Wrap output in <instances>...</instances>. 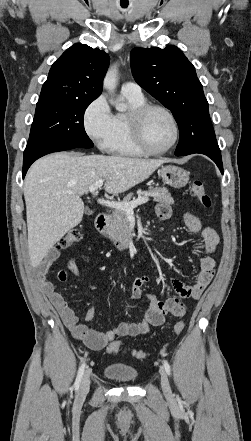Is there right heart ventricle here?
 Listing matches in <instances>:
<instances>
[{"instance_id":"e07e8e85","label":"right heart ventricle","mask_w":251,"mask_h":441,"mask_svg":"<svg viewBox=\"0 0 251 441\" xmlns=\"http://www.w3.org/2000/svg\"><path fill=\"white\" fill-rule=\"evenodd\" d=\"M123 96L127 100L130 110L125 113L113 115L114 131L107 150L118 155L141 156L144 155L145 152H143L133 140L129 117L134 109L146 104V100L143 95L135 96L123 93Z\"/></svg>"}]
</instances>
